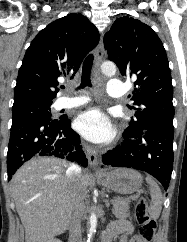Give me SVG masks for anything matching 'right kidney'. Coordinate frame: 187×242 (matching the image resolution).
Instances as JSON below:
<instances>
[{
	"instance_id": "obj_1",
	"label": "right kidney",
	"mask_w": 187,
	"mask_h": 242,
	"mask_svg": "<svg viewBox=\"0 0 187 242\" xmlns=\"http://www.w3.org/2000/svg\"><path fill=\"white\" fill-rule=\"evenodd\" d=\"M49 242H61V241H59V240H57V239H53V240H51V241H49Z\"/></svg>"
}]
</instances>
